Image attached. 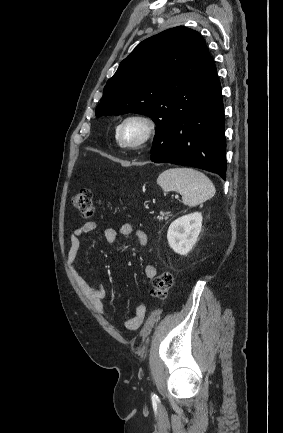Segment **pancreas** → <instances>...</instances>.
<instances>
[{"label": "pancreas", "instance_id": "pancreas-1", "mask_svg": "<svg viewBox=\"0 0 283 433\" xmlns=\"http://www.w3.org/2000/svg\"><path fill=\"white\" fill-rule=\"evenodd\" d=\"M161 217L160 219H163V217H165V219H168V217H171V214H169V212H160Z\"/></svg>", "mask_w": 283, "mask_h": 433}]
</instances>
